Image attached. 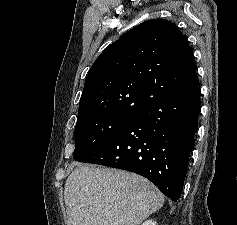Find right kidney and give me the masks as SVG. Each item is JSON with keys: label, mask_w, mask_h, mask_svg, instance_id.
I'll use <instances>...</instances> for the list:
<instances>
[{"label": "right kidney", "mask_w": 237, "mask_h": 225, "mask_svg": "<svg viewBox=\"0 0 237 225\" xmlns=\"http://www.w3.org/2000/svg\"><path fill=\"white\" fill-rule=\"evenodd\" d=\"M141 225H157L155 221L153 220H146Z\"/></svg>", "instance_id": "1"}]
</instances>
